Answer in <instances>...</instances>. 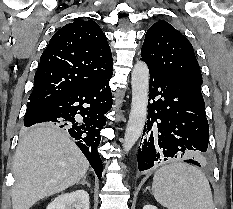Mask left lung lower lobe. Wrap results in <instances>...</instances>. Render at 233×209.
I'll use <instances>...</instances> for the list:
<instances>
[{"label": "left lung lower lobe", "instance_id": "1", "mask_svg": "<svg viewBox=\"0 0 233 209\" xmlns=\"http://www.w3.org/2000/svg\"><path fill=\"white\" fill-rule=\"evenodd\" d=\"M149 67V66H148ZM148 117L138 150L139 171L189 150L206 152L209 127L201 91L189 82L149 67ZM155 99V100H154ZM200 166L193 159L185 160Z\"/></svg>", "mask_w": 233, "mask_h": 209}]
</instances>
